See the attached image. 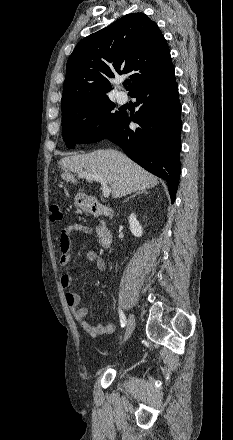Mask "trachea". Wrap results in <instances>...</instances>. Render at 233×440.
I'll return each mask as SVG.
<instances>
[{
    "label": "trachea",
    "instance_id": "1",
    "mask_svg": "<svg viewBox=\"0 0 233 440\" xmlns=\"http://www.w3.org/2000/svg\"><path fill=\"white\" fill-rule=\"evenodd\" d=\"M130 84V81H125L124 83H123V85L126 87L127 85H129Z\"/></svg>",
    "mask_w": 233,
    "mask_h": 440
}]
</instances>
